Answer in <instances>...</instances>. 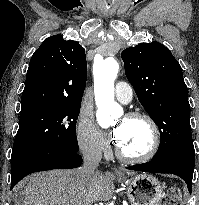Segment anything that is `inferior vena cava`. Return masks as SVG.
I'll use <instances>...</instances> for the list:
<instances>
[{"label": "inferior vena cava", "mask_w": 199, "mask_h": 205, "mask_svg": "<svg viewBox=\"0 0 199 205\" xmlns=\"http://www.w3.org/2000/svg\"><path fill=\"white\" fill-rule=\"evenodd\" d=\"M83 164L79 169L80 176L90 183H94L98 176L96 168L102 158L101 148L98 145H91L82 150Z\"/></svg>", "instance_id": "602c4592"}]
</instances>
